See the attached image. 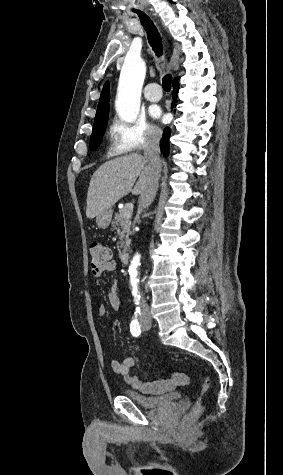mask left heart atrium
<instances>
[{
    "label": "left heart atrium",
    "instance_id": "obj_1",
    "mask_svg": "<svg viewBox=\"0 0 283 475\" xmlns=\"http://www.w3.org/2000/svg\"><path fill=\"white\" fill-rule=\"evenodd\" d=\"M152 117L157 119V120H161L163 117H162V113L160 111H157V112H154L152 114Z\"/></svg>",
    "mask_w": 283,
    "mask_h": 475
}]
</instances>
